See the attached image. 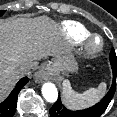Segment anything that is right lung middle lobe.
Listing matches in <instances>:
<instances>
[{
    "mask_svg": "<svg viewBox=\"0 0 117 117\" xmlns=\"http://www.w3.org/2000/svg\"><path fill=\"white\" fill-rule=\"evenodd\" d=\"M4 10H0V17L3 15Z\"/></svg>",
    "mask_w": 117,
    "mask_h": 117,
    "instance_id": "right-lung-middle-lobe-1",
    "label": "right lung middle lobe"
}]
</instances>
